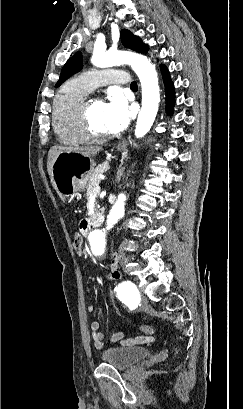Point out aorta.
<instances>
[{
	"mask_svg": "<svg viewBox=\"0 0 243 409\" xmlns=\"http://www.w3.org/2000/svg\"><path fill=\"white\" fill-rule=\"evenodd\" d=\"M91 61L93 65L99 68L119 64H129L132 67L142 87V108L138 115L135 136L141 138L146 135L154 123L160 101L158 77L154 65L143 55L120 51H95ZM124 212L125 197L119 195L107 216L106 226L91 231L89 241L104 245L107 232L124 216Z\"/></svg>",
	"mask_w": 243,
	"mask_h": 409,
	"instance_id": "1",
	"label": "aorta"
}]
</instances>
